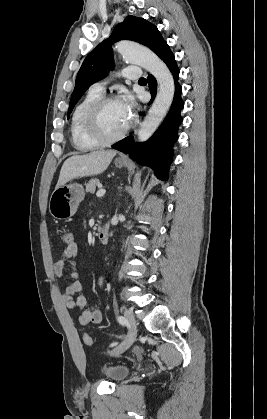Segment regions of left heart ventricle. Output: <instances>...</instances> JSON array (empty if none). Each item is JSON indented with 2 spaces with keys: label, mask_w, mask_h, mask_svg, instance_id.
Returning a JSON list of instances; mask_svg holds the SVG:
<instances>
[{
  "label": "left heart ventricle",
  "mask_w": 267,
  "mask_h": 419,
  "mask_svg": "<svg viewBox=\"0 0 267 419\" xmlns=\"http://www.w3.org/2000/svg\"><path fill=\"white\" fill-rule=\"evenodd\" d=\"M129 122L120 101L109 103L102 111L100 123L107 135L118 134Z\"/></svg>",
  "instance_id": "b2bd125f"
}]
</instances>
